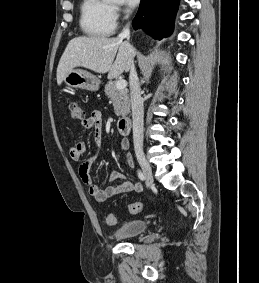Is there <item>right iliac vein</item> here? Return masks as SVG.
<instances>
[{"label": "right iliac vein", "mask_w": 259, "mask_h": 283, "mask_svg": "<svg viewBox=\"0 0 259 283\" xmlns=\"http://www.w3.org/2000/svg\"><path fill=\"white\" fill-rule=\"evenodd\" d=\"M137 156V160L143 170V173L147 179L148 185L151 186L153 185L154 179H153V174H152V170L150 167V164L148 163V161L146 160L144 154L142 152H137L136 154Z\"/></svg>", "instance_id": "63e3f726"}]
</instances>
